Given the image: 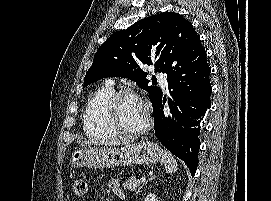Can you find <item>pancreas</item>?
<instances>
[{"label":"pancreas","mask_w":271,"mask_h":201,"mask_svg":"<svg viewBox=\"0 0 271 201\" xmlns=\"http://www.w3.org/2000/svg\"><path fill=\"white\" fill-rule=\"evenodd\" d=\"M122 187L126 190L135 192L137 189L141 188V181L136 177L129 178L125 183L122 184Z\"/></svg>","instance_id":"cf45deb5"}]
</instances>
